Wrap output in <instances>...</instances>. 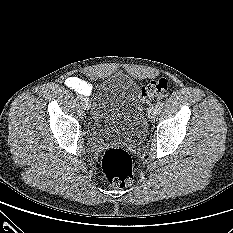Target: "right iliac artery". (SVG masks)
Segmentation results:
<instances>
[{
    "instance_id": "right-iliac-artery-1",
    "label": "right iliac artery",
    "mask_w": 233,
    "mask_h": 233,
    "mask_svg": "<svg viewBox=\"0 0 233 233\" xmlns=\"http://www.w3.org/2000/svg\"><path fill=\"white\" fill-rule=\"evenodd\" d=\"M76 99H77L78 101H82V96H81V95H78Z\"/></svg>"
}]
</instances>
